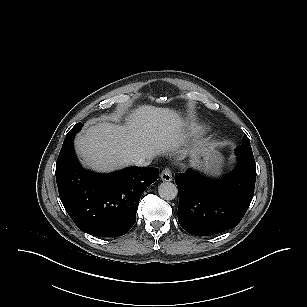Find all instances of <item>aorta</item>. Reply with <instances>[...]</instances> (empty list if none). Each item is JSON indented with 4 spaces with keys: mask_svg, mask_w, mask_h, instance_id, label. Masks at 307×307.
<instances>
[{
    "mask_svg": "<svg viewBox=\"0 0 307 307\" xmlns=\"http://www.w3.org/2000/svg\"><path fill=\"white\" fill-rule=\"evenodd\" d=\"M159 196L164 200H173L178 194V189L175 184L171 182H163L158 187Z\"/></svg>",
    "mask_w": 307,
    "mask_h": 307,
    "instance_id": "obj_1",
    "label": "aorta"
}]
</instances>
